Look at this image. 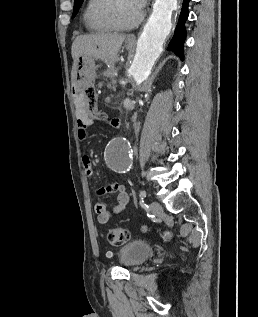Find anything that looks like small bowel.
Listing matches in <instances>:
<instances>
[{
	"label": "small bowel",
	"instance_id": "c3829d8e",
	"mask_svg": "<svg viewBox=\"0 0 258 317\" xmlns=\"http://www.w3.org/2000/svg\"><path fill=\"white\" fill-rule=\"evenodd\" d=\"M109 125L113 127H119L120 123L118 120H110ZM90 126V122L88 120L80 119L78 122V138L80 141H85L88 137L87 128ZM82 165L85 171V174L88 177L93 176L94 170L92 161L89 156L82 157ZM97 194L100 196L108 195V194H116V202L112 207H109L106 203H97L95 206V212L97 213L98 222L101 224L108 223L115 216L123 213L128 206L129 196L126 192L125 187L119 183H109L103 187H101Z\"/></svg>",
	"mask_w": 258,
	"mask_h": 317
}]
</instances>
